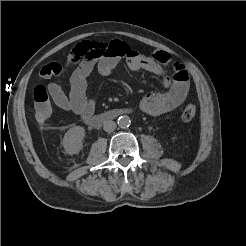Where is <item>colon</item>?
Instances as JSON below:
<instances>
[{
	"instance_id": "1",
	"label": "colon",
	"mask_w": 246,
	"mask_h": 246,
	"mask_svg": "<svg viewBox=\"0 0 246 246\" xmlns=\"http://www.w3.org/2000/svg\"><path fill=\"white\" fill-rule=\"evenodd\" d=\"M155 57L161 59L159 54H156ZM33 98L36 119L40 122L47 120L51 115L52 106L46 88L42 85L36 86L33 92ZM195 115L196 106L194 104H188L182 112V119L188 122L191 121Z\"/></svg>"
}]
</instances>
